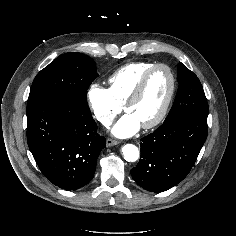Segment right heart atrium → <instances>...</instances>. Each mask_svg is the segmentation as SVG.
<instances>
[{"instance_id": "1", "label": "right heart atrium", "mask_w": 236, "mask_h": 236, "mask_svg": "<svg viewBox=\"0 0 236 236\" xmlns=\"http://www.w3.org/2000/svg\"><path fill=\"white\" fill-rule=\"evenodd\" d=\"M87 101L93 117L103 126H109L122 110L109 88L97 83L89 86Z\"/></svg>"}]
</instances>
